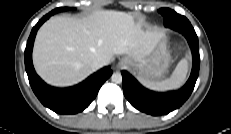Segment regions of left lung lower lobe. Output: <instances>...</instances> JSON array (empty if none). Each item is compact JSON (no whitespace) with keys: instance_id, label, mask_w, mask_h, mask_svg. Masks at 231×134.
Wrapping results in <instances>:
<instances>
[{"instance_id":"left-lung-lower-lobe-1","label":"left lung lower lobe","mask_w":231,"mask_h":134,"mask_svg":"<svg viewBox=\"0 0 231 134\" xmlns=\"http://www.w3.org/2000/svg\"><path fill=\"white\" fill-rule=\"evenodd\" d=\"M172 19L174 22L170 28L179 31L186 37L193 53L191 75L184 87L179 91L168 94L154 92L143 87L127 71H122L123 92L127 100L136 109L154 116L165 115L179 108L192 93L199 73V45L195 30L187 18L177 14L175 11L172 13Z\"/></svg>"}]
</instances>
